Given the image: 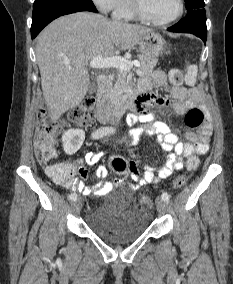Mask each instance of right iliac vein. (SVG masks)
Masks as SVG:
<instances>
[{
    "mask_svg": "<svg viewBox=\"0 0 233 284\" xmlns=\"http://www.w3.org/2000/svg\"><path fill=\"white\" fill-rule=\"evenodd\" d=\"M82 207V201L80 198H77L73 203H72V210L73 212L77 213L81 210Z\"/></svg>",
    "mask_w": 233,
    "mask_h": 284,
    "instance_id": "obj_1",
    "label": "right iliac vein"
}]
</instances>
